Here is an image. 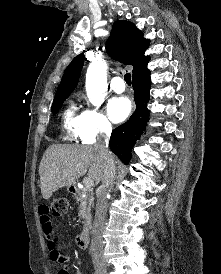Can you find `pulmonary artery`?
<instances>
[{
	"label": "pulmonary artery",
	"mask_w": 221,
	"mask_h": 274,
	"mask_svg": "<svg viewBox=\"0 0 221 274\" xmlns=\"http://www.w3.org/2000/svg\"><path fill=\"white\" fill-rule=\"evenodd\" d=\"M111 89L116 93H122L125 91V83L120 76H115L110 82Z\"/></svg>",
	"instance_id": "e3ab8cb5"
}]
</instances>
